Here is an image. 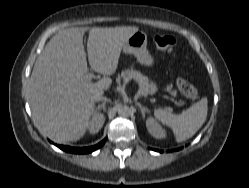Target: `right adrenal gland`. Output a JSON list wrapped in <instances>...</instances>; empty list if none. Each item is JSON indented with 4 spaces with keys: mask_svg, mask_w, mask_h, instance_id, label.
Instances as JSON below:
<instances>
[{
    "mask_svg": "<svg viewBox=\"0 0 249 188\" xmlns=\"http://www.w3.org/2000/svg\"><path fill=\"white\" fill-rule=\"evenodd\" d=\"M109 101H110L109 99H106V100H104V102L102 104L98 105L96 108V112H99L101 109H103V111L106 112L105 105Z\"/></svg>",
    "mask_w": 249,
    "mask_h": 188,
    "instance_id": "1",
    "label": "right adrenal gland"
}]
</instances>
